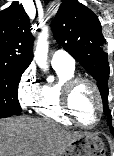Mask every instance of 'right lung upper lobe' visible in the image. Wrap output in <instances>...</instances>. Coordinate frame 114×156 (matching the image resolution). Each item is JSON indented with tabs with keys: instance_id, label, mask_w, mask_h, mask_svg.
I'll return each mask as SVG.
<instances>
[{
	"instance_id": "obj_1",
	"label": "right lung upper lobe",
	"mask_w": 114,
	"mask_h": 156,
	"mask_svg": "<svg viewBox=\"0 0 114 156\" xmlns=\"http://www.w3.org/2000/svg\"><path fill=\"white\" fill-rule=\"evenodd\" d=\"M34 38L22 5L0 11V65L26 69L33 59Z\"/></svg>"
}]
</instances>
